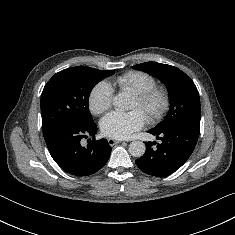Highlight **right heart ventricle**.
I'll return each instance as SVG.
<instances>
[{"label": "right heart ventricle", "mask_w": 235, "mask_h": 235, "mask_svg": "<svg viewBox=\"0 0 235 235\" xmlns=\"http://www.w3.org/2000/svg\"><path fill=\"white\" fill-rule=\"evenodd\" d=\"M122 92L138 93L156 86V79L143 71H129L114 80Z\"/></svg>", "instance_id": "right-heart-ventricle-1"}]
</instances>
